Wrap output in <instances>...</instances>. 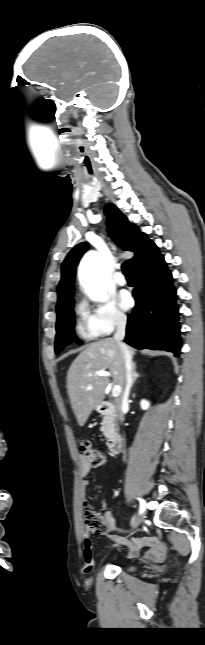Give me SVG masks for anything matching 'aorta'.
Returning a JSON list of instances; mask_svg holds the SVG:
<instances>
[{"instance_id":"aorta-1","label":"aorta","mask_w":205,"mask_h":645,"mask_svg":"<svg viewBox=\"0 0 205 645\" xmlns=\"http://www.w3.org/2000/svg\"><path fill=\"white\" fill-rule=\"evenodd\" d=\"M79 280L92 300L105 302L108 299L97 252L90 251L82 258L79 265Z\"/></svg>"}]
</instances>
